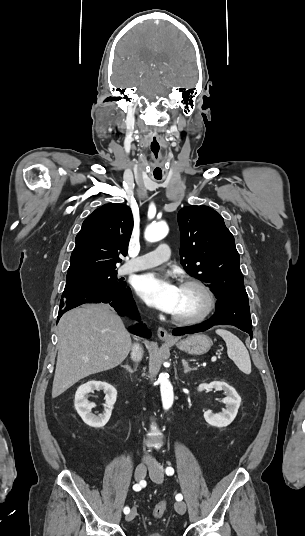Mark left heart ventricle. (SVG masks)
Masks as SVG:
<instances>
[{
    "label": "left heart ventricle",
    "mask_w": 305,
    "mask_h": 536,
    "mask_svg": "<svg viewBox=\"0 0 305 536\" xmlns=\"http://www.w3.org/2000/svg\"><path fill=\"white\" fill-rule=\"evenodd\" d=\"M206 306V296L199 288L190 285H180L178 304L173 314L194 315L203 312Z\"/></svg>",
    "instance_id": "b2bd125f"
}]
</instances>
